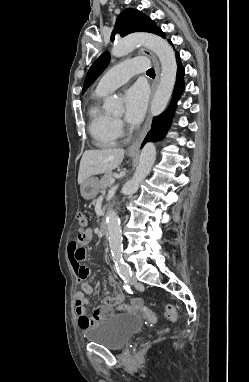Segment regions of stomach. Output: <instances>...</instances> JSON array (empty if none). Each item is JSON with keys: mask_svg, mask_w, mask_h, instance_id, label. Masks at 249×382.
<instances>
[{"mask_svg": "<svg viewBox=\"0 0 249 382\" xmlns=\"http://www.w3.org/2000/svg\"><path fill=\"white\" fill-rule=\"evenodd\" d=\"M99 190V180L96 177H89L80 187L81 195L85 200L94 199Z\"/></svg>", "mask_w": 249, "mask_h": 382, "instance_id": "1", "label": "stomach"}]
</instances>
